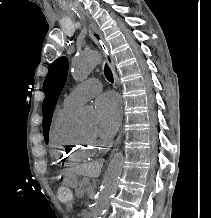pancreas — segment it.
<instances>
[{"instance_id":"1","label":"pancreas","mask_w":211,"mask_h":218,"mask_svg":"<svg viewBox=\"0 0 211 218\" xmlns=\"http://www.w3.org/2000/svg\"><path fill=\"white\" fill-rule=\"evenodd\" d=\"M84 187H85V184H80V188H78V191L76 192V194L78 195H86V192H84Z\"/></svg>"}]
</instances>
